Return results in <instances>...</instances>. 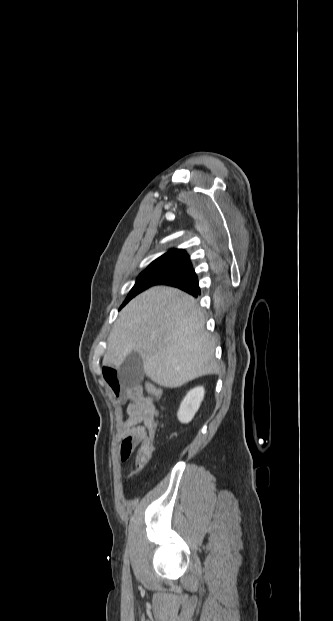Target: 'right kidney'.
<instances>
[{
    "instance_id": "1",
    "label": "right kidney",
    "mask_w": 333,
    "mask_h": 621,
    "mask_svg": "<svg viewBox=\"0 0 333 621\" xmlns=\"http://www.w3.org/2000/svg\"><path fill=\"white\" fill-rule=\"evenodd\" d=\"M204 393L205 391L202 386L195 387L187 393L177 413L178 420L181 423L186 424L193 419L204 398Z\"/></svg>"
}]
</instances>
